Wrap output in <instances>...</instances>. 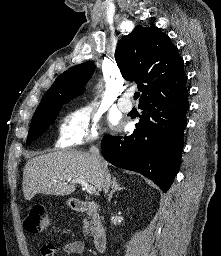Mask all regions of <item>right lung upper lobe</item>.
<instances>
[{"label":"right lung upper lobe","mask_w":221,"mask_h":256,"mask_svg":"<svg viewBox=\"0 0 221 256\" xmlns=\"http://www.w3.org/2000/svg\"><path fill=\"white\" fill-rule=\"evenodd\" d=\"M115 60L123 78L138 84L142 92L139 104L157 96L187 91L184 61L170 38L155 26L137 25L122 37ZM95 68L93 62L69 68L55 80L39 105L57 98H75L83 92Z\"/></svg>","instance_id":"1"}]
</instances>
